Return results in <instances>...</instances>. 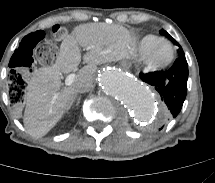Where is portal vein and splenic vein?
<instances>
[{
  "instance_id": "18ae733b",
  "label": "portal vein and splenic vein",
  "mask_w": 215,
  "mask_h": 183,
  "mask_svg": "<svg viewBox=\"0 0 215 183\" xmlns=\"http://www.w3.org/2000/svg\"><path fill=\"white\" fill-rule=\"evenodd\" d=\"M76 74L75 73H71L67 76L66 80H65V85L66 86H70L74 80H75Z\"/></svg>"
}]
</instances>
